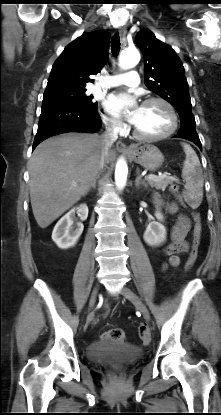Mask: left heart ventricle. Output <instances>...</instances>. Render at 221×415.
Wrapping results in <instances>:
<instances>
[{"label":"left heart ventricle","mask_w":221,"mask_h":415,"mask_svg":"<svg viewBox=\"0 0 221 415\" xmlns=\"http://www.w3.org/2000/svg\"><path fill=\"white\" fill-rule=\"evenodd\" d=\"M134 125L143 134L158 135L170 128L171 116L163 104L153 102L141 105Z\"/></svg>","instance_id":"left-heart-ventricle-1"}]
</instances>
